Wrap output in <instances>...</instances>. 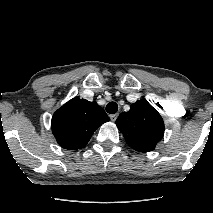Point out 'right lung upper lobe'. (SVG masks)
I'll return each mask as SVG.
<instances>
[{"label":"right lung upper lobe","instance_id":"obj_1","mask_svg":"<svg viewBox=\"0 0 213 213\" xmlns=\"http://www.w3.org/2000/svg\"><path fill=\"white\" fill-rule=\"evenodd\" d=\"M109 120L96 102L75 97L53 114L51 127L61 147L77 150L83 148L94 131Z\"/></svg>","mask_w":213,"mask_h":213}]
</instances>
